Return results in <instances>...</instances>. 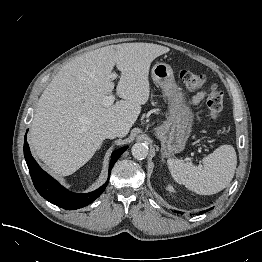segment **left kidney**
Listing matches in <instances>:
<instances>
[{
  "mask_svg": "<svg viewBox=\"0 0 262 262\" xmlns=\"http://www.w3.org/2000/svg\"><path fill=\"white\" fill-rule=\"evenodd\" d=\"M167 188H168V190L171 191V192L174 191V188H173L172 186H170V185H169Z\"/></svg>",
  "mask_w": 262,
  "mask_h": 262,
  "instance_id": "left-kidney-1",
  "label": "left kidney"
}]
</instances>
